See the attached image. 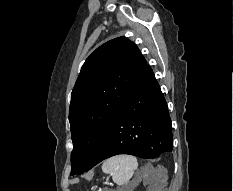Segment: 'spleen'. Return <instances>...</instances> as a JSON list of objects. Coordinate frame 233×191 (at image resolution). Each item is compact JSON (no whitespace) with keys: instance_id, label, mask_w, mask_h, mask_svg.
Returning <instances> with one entry per match:
<instances>
[{"instance_id":"3e777b00","label":"spleen","mask_w":233,"mask_h":191,"mask_svg":"<svg viewBox=\"0 0 233 191\" xmlns=\"http://www.w3.org/2000/svg\"><path fill=\"white\" fill-rule=\"evenodd\" d=\"M137 168V159L131 155L114 156L102 164V171L111 174L113 181L118 186L127 184Z\"/></svg>"}]
</instances>
